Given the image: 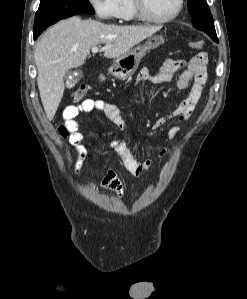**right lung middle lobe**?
<instances>
[{"mask_svg":"<svg viewBox=\"0 0 247 299\" xmlns=\"http://www.w3.org/2000/svg\"><path fill=\"white\" fill-rule=\"evenodd\" d=\"M81 13H94L89 0H40L35 15L34 36L40 35L47 27L61 19Z\"/></svg>","mask_w":247,"mask_h":299,"instance_id":"obj_1","label":"right lung middle lobe"}]
</instances>
